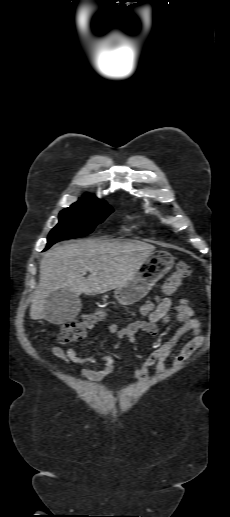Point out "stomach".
Wrapping results in <instances>:
<instances>
[{"label":"stomach","instance_id":"0dacf381","mask_svg":"<svg viewBox=\"0 0 230 517\" xmlns=\"http://www.w3.org/2000/svg\"><path fill=\"white\" fill-rule=\"evenodd\" d=\"M174 265V258L166 251L152 253L122 286L114 291L115 299L122 305L133 304L142 299Z\"/></svg>","mask_w":230,"mask_h":517}]
</instances>
